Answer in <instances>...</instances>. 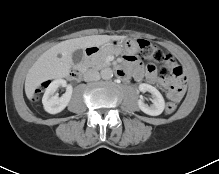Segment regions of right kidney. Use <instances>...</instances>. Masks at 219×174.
I'll use <instances>...</instances> for the list:
<instances>
[{"label":"right kidney","mask_w":219,"mask_h":174,"mask_svg":"<svg viewBox=\"0 0 219 174\" xmlns=\"http://www.w3.org/2000/svg\"><path fill=\"white\" fill-rule=\"evenodd\" d=\"M59 87H66V92L61 97H58L55 94ZM72 91V86L68 85L66 80L56 79L52 81L46 88L42 98V103L45 111L50 114H57L63 111L71 99Z\"/></svg>","instance_id":"1"}]
</instances>
